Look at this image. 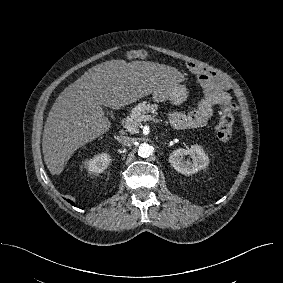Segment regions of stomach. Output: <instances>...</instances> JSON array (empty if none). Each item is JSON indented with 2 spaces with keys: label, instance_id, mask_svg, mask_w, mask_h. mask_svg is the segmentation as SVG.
Wrapping results in <instances>:
<instances>
[{
  "label": "stomach",
  "instance_id": "1",
  "mask_svg": "<svg viewBox=\"0 0 283 283\" xmlns=\"http://www.w3.org/2000/svg\"><path fill=\"white\" fill-rule=\"evenodd\" d=\"M187 96L188 91L185 86L173 84L154 91L152 99L155 102L169 101L174 105H180L186 100Z\"/></svg>",
  "mask_w": 283,
  "mask_h": 283
}]
</instances>
